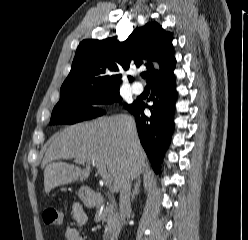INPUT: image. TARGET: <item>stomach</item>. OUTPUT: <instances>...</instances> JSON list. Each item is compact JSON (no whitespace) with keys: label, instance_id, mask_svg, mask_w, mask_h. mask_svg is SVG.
I'll use <instances>...</instances> for the list:
<instances>
[{"label":"stomach","instance_id":"obj_1","mask_svg":"<svg viewBox=\"0 0 248 240\" xmlns=\"http://www.w3.org/2000/svg\"><path fill=\"white\" fill-rule=\"evenodd\" d=\"M79 197L81 198V200H83L85 202L90 201V199H91V197L88 195L85 188H81L79 190Z\"/></svg>","mask_w":248,"mask_h":240}]
</instances>
